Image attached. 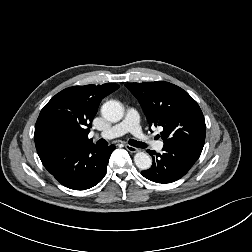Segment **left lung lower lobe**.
I'll return each instance as SVG.
<instances>
[{
    "label": "left lung lower lobe",
    "instance_id": "1",
    "mask_svg": "<svg viewBox=\"0 0 252 252\" xmlns=\"http://www.w3.org/2000/svg\"><path fill=\"white\" fill-rule=\"evenodd\" d=\"M163 153L147 150L153 156L150 169L141 174L156 183H171L183 177L202 151L188 146H164Z\"/></svg>",
    "mask_w": 252,
    "mask_h": 252
}]
</instances>
